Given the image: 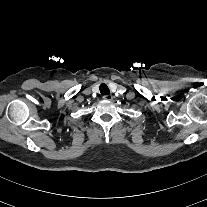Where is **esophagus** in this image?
Wrapping results in <instances>:
<instances>
[{"instance_id":"esophagus-1","label":"esophagus","mask_w":207,"mask_h":207,"mask_svg":"<svg viewBox=\"0 0 207 207\" xmlns=\"http://www.w3.org/2000/svg\"><path fill=\"white\" fill-rule=\"evenodd\" d=\"M103 99L107 100V101H110V100L113 99V96L111 94H106V95L103 96Z\"/></svg>"}]
</instances>
